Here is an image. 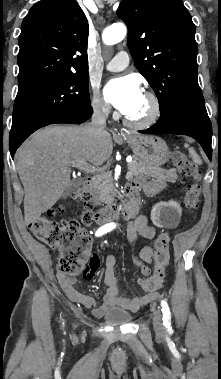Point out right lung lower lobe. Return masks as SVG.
<instances>
[{
  "instance_id": "obj_1",
  "label": "right lung lower lobe",
  "mask_w": 221,
  "mask_h": 379,
  "mask_svg": "<svg viewBox=\"0 0 221 379\" xmlns=\"http://www.w3.org/2000/svg\"><path fill=\"white\" fill-rule=\"evenodd\" d=\"M92 113H93V110H92V107L90 105L89 107L83 109L81 112L64 116L62 118L51 121V122L47 123L46 125L55 124V123H73V124L83 123L91 117ZM46 125H44V126H46ZM24 140L25 139H21L17 142L9 143L10 153H11L12 158L14 157V153L16 152L17 148L21 145V143Z\"/></svg>"
}]
</instances>
